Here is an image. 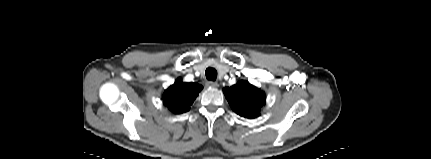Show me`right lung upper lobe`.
<instances>
[{"label":"right lung upper lobe","instance_id":"1","mask_svg":"<svg viewBox=\"0 0 431 159\" xmlns=\"http://www.w3.org/2000/svg\"><path fill=\"white\" fill-rule=\"evenodd\" d=\"M201 89L198 83H183L178 79L164 92L163 103L174 113L186 112Z\"/></svg>","mask_w":431,"mask_h":159}]
</instances>
